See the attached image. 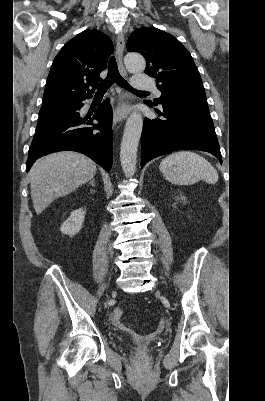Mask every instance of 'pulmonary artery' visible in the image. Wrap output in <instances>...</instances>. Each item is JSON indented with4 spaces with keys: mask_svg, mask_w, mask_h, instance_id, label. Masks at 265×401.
I'll return each mask as SVG.
<instances>
[{
    "mask_svg": "<svg viewBox=\"0 0 265 401\" xmlns=\"http://www.w3.org/2000/svg\"><path fill=\"white\" fill-rule=\"evenodd\" d=\"M133 87L136 90H154L155 82L151 81L150 75H137ZM156 94L160 96L161 92L156 90Z\"/></svg>",
    "mask_w": 265,
    "mask_h": 401,
    "instance_id": "1",
    "label": "pulmonary artery"
}]
</instances>
